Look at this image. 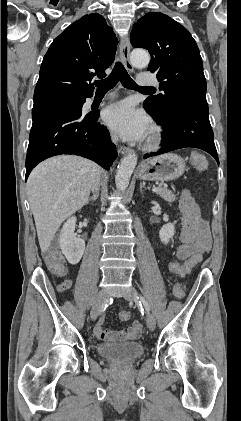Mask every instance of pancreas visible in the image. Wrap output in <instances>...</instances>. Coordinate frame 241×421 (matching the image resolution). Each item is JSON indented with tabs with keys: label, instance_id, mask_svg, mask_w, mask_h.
Segmentation results:
<instances>
[{
	"label": "pancreas",
	"instance_id": "pancreas-1",
	"mask_svg": "<svg viewBox=\"0 0 241 421\" xmlns=\"http://www.w3.org/2000/svg\"><path fill=\"white\" fill-rule=\"evenodd\" d=\"M156 194L161 196L164 200L168 202H174L176 200V196L167 188L163 186H158Z\"/></svg>",
	"mask_w": 241,
	"mask_h": 421
}]
</instances>
